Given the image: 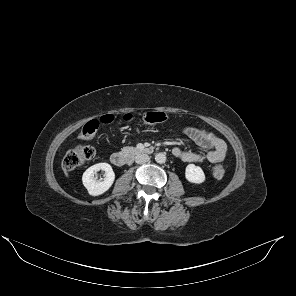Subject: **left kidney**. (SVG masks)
Segmentation results:
<instances>
[{
  "mask_svg": "<svg viewBox=\"0 0 296 296\" xmlns=\"http://www.w3.org/2000/svg\"><path fill=\"white\" fill-rule=\"evenodd\" d=\"M185 177L186 179L195 184H200L205 181V174L201 167L196 166L194 164H189L185 170Z\"/></svg>",
  "mask_w": 296,
  "mask_h": 296,
  "instance_id": "obj_1",
  "label": "left kidney"
}]
</instances>
